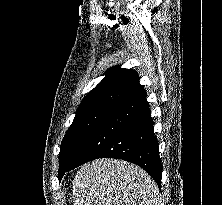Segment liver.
<instances>
[{
	"instance_id": "1",
	"label": "liver",
	"mask_w": 222,
	"mask_h": 205,
	"mask_svg": "<svg viewBox=\"0 0 222 205\" xmlns=\"http://www.w3.org/2000/svg\"><path fill=\"white\" fill-rule=\"evenodd\" d=\"M73 205H160L159 189L135 164L98 159L77 171L73 180Z\"/></svg>"
}]
</instances>
